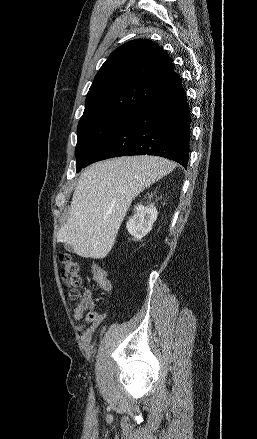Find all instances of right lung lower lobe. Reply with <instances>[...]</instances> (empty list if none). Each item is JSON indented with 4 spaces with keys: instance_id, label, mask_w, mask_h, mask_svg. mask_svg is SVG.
<instances>
[{
    "instance_id": "obj_1",
    "label": "right lung lower lobe",
    "mask_w": 257,
    "mask_h": 439,
    "mask_svg": "<svg viewBox=\"0 0 257 439\" xmlns=\"http://www.w3.org/2000/svg\"><path fill=\"white\" fill-rule=\"evenodd\" d=\"M190 112L182 85L158 96L125 118L97 147L83 167L125 155H156L187 167Z\"/></svg>"
}]
</instances>
